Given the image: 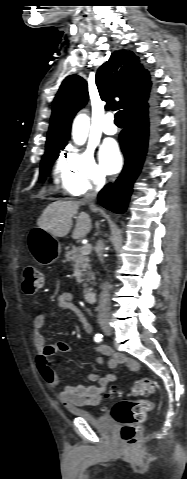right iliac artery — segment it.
Returning <instances> with one entry per match:
<instances>
[{
  "instance_id": "82829eb1",
  "label": "right iliac artery",
  "mask_w": 187,
  "mask_h": 479,
  "mask_svg": "<svg viewBox=\"0 0 187 479\" xmlns=\"http://www.w3.org/2000/svg\"><path fill=\"white\" fill-rule=\"evenodd\" d=\"M103 338L102 334H96L94 337L95 342H101Z\"/></svg>"
}]
</instances>
